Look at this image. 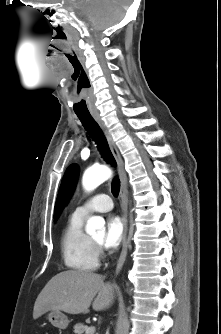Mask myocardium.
Returning a JSON list of instances; mask_svg holds the SVG:
<instances>
[{
	"instance_id": "obj_1",
	"label": "myocardium",
	"mask_w": 221,
	"mask_h": 334,
	"mask_svg": "<svg viewBox=\"0 0 221 334\" xmlns=\"http://www.w3.org/2000/svg\"><path fill=\"white\" fill-rule=\"evenodd\" d=\"M93 243L98 251L99 247H100V243L99 242H96L95 240H93Z\"/></svg>"
}]
</instances>
